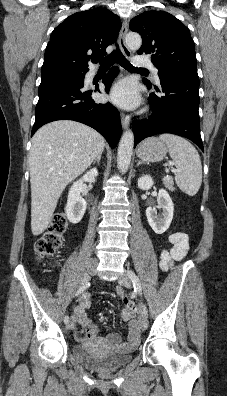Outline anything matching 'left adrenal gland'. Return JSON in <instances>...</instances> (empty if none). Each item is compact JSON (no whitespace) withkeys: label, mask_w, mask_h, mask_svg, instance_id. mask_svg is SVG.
Segmentation results:
<instances>
[{"label":"left adrenal gland","mask_w":227,"mask_h":396,"mask_svg":"<svg viewBox=\"0 0 227 396\" xmlns=\"http://www.w3.org/2000/svg\"><path fill=\"white\" fill-rule=\"evenodd\" d=\"M140 164H142V162H141L140 160H138V162H137V167H138Z\"/></svg>","instance_id":"obj_1"}]
</instances>
